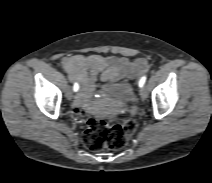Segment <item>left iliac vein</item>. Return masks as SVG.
Listing matches in <instances>:
<instances>
[{
  "mask_svg": "<svg viewBox=\"0 0 212 183\" xmlns=\"http://www.w3.org/2000/svg\"><path fill=\"white\" fill-rule=\"evenodd\" d=\"M140 97H141V99H143V100L147 99V97H148V92H147V89H146L145 87H142V88L140 89Z\"/></svg>",
  "mask_w": 212,
  "mask_h": 183,
  "instance_id": "1",
  "label": "left iliac vein"
}]
</instances>
